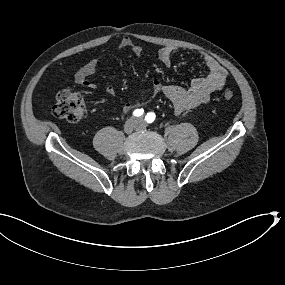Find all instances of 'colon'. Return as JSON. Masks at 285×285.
<instances>
[{
	"mask_svg": "<svg viewBox=\"0 0 285 285\" xmlns=\"http://www.w3.org/2000/svg\"><path fill=\"white\" fill-rule=\"evenodd\" d=\"M234 93L231 90H225L223 97L226 100L232 99ZM53 113L58 118L68 122L75 123L80 121L85 113V103L82 95L75 90H63L56 96L53 106Z\"/></svg>",
	"mask_w": 285,
	"mask_h": 285,
	"instance_id": "obj_1",
	"label": "colon"
}]
</instances>
